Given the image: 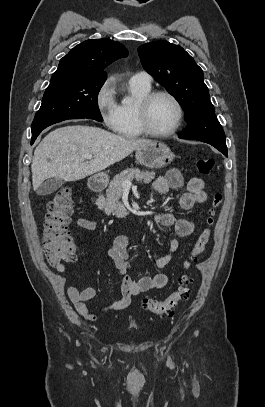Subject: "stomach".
Returning a JSON list of instances; mask_svg holds the SVG:
<instances>
[{
	"instance_id": "1",
	"label": "stomach",
	"mask_w": 265,
	"mask_h": 407,
	"mask_svg": "<svg viewBox=\"0 0 265 407\" xmlns=\"http://www.w3.org/2000/svg\"><path fill=\"white\" fill-rule=\"evenodd\" d=\"M136 160L148 168H161L167 166L174 158L170 148L162 142L151 141L136 149ZM93 180L98 184H105L108 180L106 173H97Z\"/></svg>"
}]
</instances>
